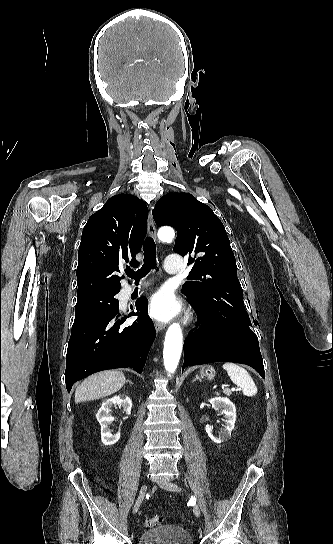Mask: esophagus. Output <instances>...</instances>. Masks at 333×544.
<instances>
[{"label":"esophagus","mask_w":333,"mask_h":544,"mask_svg":"<svg viewBox=\"0 0 333 544\" xmlns=\"http://www.w3.org/2000/svg\"><path fill=\"white\" fill-rule=\"evenodd\" d=\"M148 231L150 236L156 240L157 239L156 227H155V223H154V219H153V215L151 211L149 212V216H148ZM164 328H165V325L163 323L158 321L155 322V329L157 332L163 330Z\"/></svg>","instance_id":"1"}]
</instances>
